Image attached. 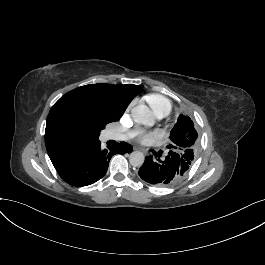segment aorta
<instances>
[{"mask_svg": "<svg viewBox=\"0 0 265 265\" xmlns=\"http://www.w3.org/2000/svg\"><path fill=\"white\" fill-rule=\"evenodd\" d=\"M131 115L136 123L146 126L154 124V117L151 110L144 104L135 106L131 110ZM144 154L140 151H134L129 156V162L133 167H141L144 164Z\"/></svg>", "mask_w": 265, "mask_h": 265, "instance_id": "1", "label": "aorta"}]
</instances>
